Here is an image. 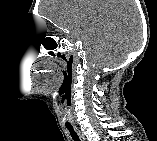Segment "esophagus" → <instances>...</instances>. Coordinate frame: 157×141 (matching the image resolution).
<instances>
[{"instance_id": "obj_1", "label": "esophagus", "mask_w": 157, "mask_h": 141, "mask_svg": "<svg viewBox=\"0 0 157 141\" xmlns=\"http://www.w3.org/2000/svg\"><path fill=\"white\" fill-rule=\"evenodd\" d=\"M79 134H80L81 139L84 140L85 139L84 136L80 132Z\"/></svg>"}]
</instances>
